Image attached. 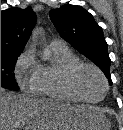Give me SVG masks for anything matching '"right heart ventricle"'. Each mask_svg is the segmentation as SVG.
Masks as SVG:
<instances>
[{"label": "right heart ventricle", "instance_id": "right-heart-ventricle-1", "mask_svg": "<svg viewBox=\"0 0 123 130\" xmlns=\"http://www.w3.org/2000/svg\"><path fill=\"white\" fill-rule=\"evenodd\" d=\"M47 52L49 62L39 63V75L32 92L38 96L61 102H78L65 86L64 72L72 63L80 61L79 57L65 44H50Z\"/></svg>", "mask_w": 123, "mask_h": 130}]
</instances>
